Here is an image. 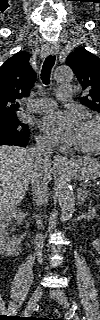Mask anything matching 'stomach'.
I'll list each match as a JSON object with an SVG mask.
<instances>
[{
    "instance_id": "stomach-1",
    "label": "stomach",
    "mask_w": 100,
    "mask_h": 320,
    "mask_svg": "<svg viewBox=\"0 0 100 320\" xmlns=\"http://www.w3.org/2000/svg\"><path fill=\"white\" fill-rule=\"evenodd\" d=\"M66 172L75 180L90 181L100 176V161L90 156L71 160Z\"/></svg>"
}]
</instances>
